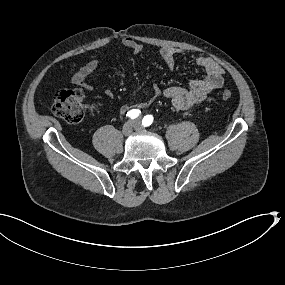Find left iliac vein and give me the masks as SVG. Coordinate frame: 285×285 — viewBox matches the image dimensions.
<instances>
[{
    "instance_id": "left-iliac-vein-1",
    "label": "left iliac vein",
    "mask_w": 285,
    "mask_h": 285,
    "mask_svg": "<svg viewBox=\"0 0 285 285\" xmlns=\"http://www.w3.org/2000/svg\"><path fill=\"white\" fill-rule=\"evenodd\" d=\"M133 122L137 124V126H136L135 129H136V130H141V127H140V119H136V120H134Z\"/></svg>"
}]
</instances>
